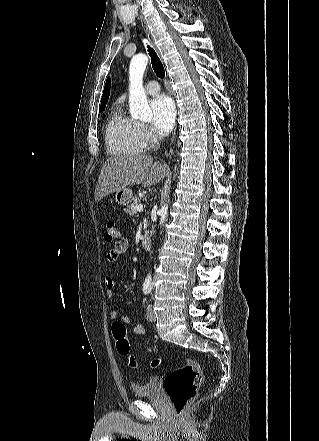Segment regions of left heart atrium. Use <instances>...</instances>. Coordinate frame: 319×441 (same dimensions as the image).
Returning a JSON list of instances; mask_svg holds the SVG:
<instances>
[{
	"instance_id": "39dd6f15",
	"label": "left heart atrium",
	"mask_w": 319,
	"mask_h": 441,
	"mask_svg": "<svg viewBox=\"0 0 319 441\" xmlns=\"http://www.w3.org/2000/svg\"><path fill=\"white\" fill-rule=\"evenodd\" d=\"M153 129L160 135L167 134L175 121V105L167 95L155 96L150 102Z\"/></svg>"
}]
</instances>
